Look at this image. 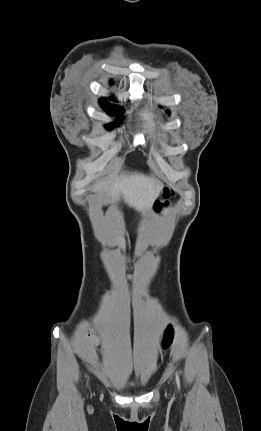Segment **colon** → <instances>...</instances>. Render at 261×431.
<instances>
[{"label":"colon","instance_id":"1","mask_svg":"<svg viewBox=\"0 0 261 431\" xmlns=\"http://www.w3.org/2000/svg\"><path fill=\"white\" fill-rule=\"evenodd\" d=\"M163 195H164V197L168 198L172 195V191L168 188H165ZM160 206H161V204L157 203L156 207L159 208ZM87 337H88L89 341L96 342V334L94 332L90 331L88 333ZM172 339H173V331L171 329H169L167 331L165 339H164V347L165 348H167L171 344Z\"/></svg>","mask_w":261,"mask_h":431}]
</instances>
